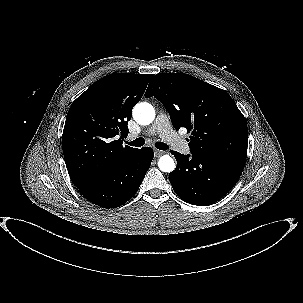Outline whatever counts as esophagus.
<instances>
[{
	"instance_id": "esophagus-1",
	"label": "esophagus",
	"mask_w": 303,
	"mask_h": 303,
	"mask_svg": "<svg viewBox=\"0 0 303 303\" xmlns=\"http://www.w3.org/2000/svg\"><path fill=\"white\" fill-rule=\"evenodd\" d=\"M154 153H155V157H160V156L163 155L165 152L156 149V150H154Z\"/></svg>"
}]
</instances>
